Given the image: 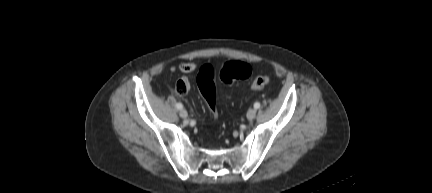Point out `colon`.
Masks as SVG:
<instances>
[{"instance_id": "1", "label": "colon", "mask_w": 432, "mask_h": 193, "mask_svg": "<svg viewBox=\"0 0 432 193\" xmlns=\"http://www.w3.org/2000/svg\"><path fill=\"white\" fill-rule=\"evenodd\" d=\"M251 74V67L249 64L242 61H229L226 62L220 69L218 77L221 82L230 84L237 80L246 79ZM269 77L267 75L256 76L251 83V88L260 90L267 86ZM198 88L203 95L206 104L216 119L218 117L216 91L214 85V70L210 65H204L197 77ZM183 91V89H180Z\"/></svg>"}]
</instances>
